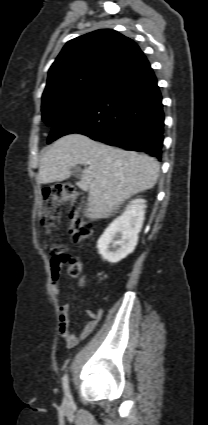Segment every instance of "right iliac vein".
Returning a JSON list of instances; mask_svg holds the SVG:
<instances>
[{"label": "right iliac vein", "mask_w": 208, "mask_h": 425, "mask_svg": "<svg viewBox=\"0 0 208 425\" xmlns=\"http://www.w3.org/2000/svg\"><path fill=\"white\" fill-rule=\"evenodd\" d=\"M64 404H65L66 406H68V405L70 404V400H69V398H68V397H66V398L64 399Z\"/></svg>", "instance_id": "63e3f726"}]
</instances>
